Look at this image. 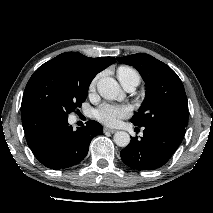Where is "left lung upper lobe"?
I'll return each mask as SVG.
<instances>
[{
    "label": "left lung upper lobe",
    "mask_w": 213,
    "mask_h": 213,
    "mask_svg": "<svg viewBox=\"0 0 213 213\" xmlns=\"http://www.w3.org/2000/svg\"><path fill=\"white\" fill-rule=\"evenodd\" d=\"M135 67L146 83L147 97L132 123L142 126H167L185 133L188 102L178 75L165 63L145 53L117 57Z\"/></svg>",
    "instance_id": "obj_1"
}]
</instances>
